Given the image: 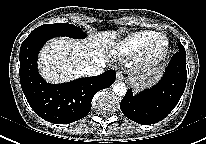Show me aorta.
I'll use <instances>...</instances> for the list:
<instances>
[{
	"label": "aorta",
	"instance_id": "obj_1",
	"mask_svg": "<svg viewBox=\"0 0 206 144\" xmlns=\"http://www.w3.org/2000/svg\"><path fill=\"white\" fill-rule=\"evenodd\" d=\"M113 92L117 96H124L127 93V87L123 82H117L113 85Z\"/></svg>",
	"mask_w": 206,
	"mask_h": 144
}]
</instances>
